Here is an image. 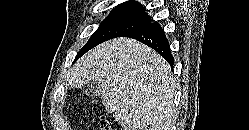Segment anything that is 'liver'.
Wrapping results in <instances>:
<instances>
[{"mask_svg":"<svg viewBox=\"0 0 249 130\" xmlns=\"http://www.w3.org/2000/svg\"><path fill=\"white\" fill-rule=\"evenodd\" d=\"M100 85L101 101L123 130H169L175 116V81L153 49L130 39L107 41L73 66L69 86Z\"/></svg>","mask_w":249,"mask_h":130,"instance_id":"obj_1","label":"liver"}]
</instances>
